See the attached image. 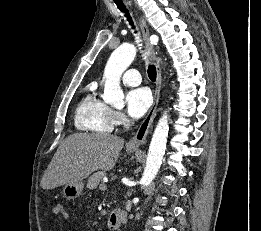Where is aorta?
I'll list each match as a JSON object with an SVG mask.
<instances>
[{
    "label": "aorta",
    "instance_id": "obj_1",
    "mask_svg": "<svg viewBox=\"0 0 261 231\" xmlns=\"http://www.w3.org/2000/svg\"><path fill=\"white\" fill-rule=\"evenodd\" d=\"M135 56L136 48L132 44H122L111 54L103 75L105 80L103 100L106 103L115 107L123 106L124 93L120 86V78ZM168 131V115L165 111L158 121L149 146L146 166L140 181L143 187L152 183L160 169L166 150Z\"/></svg>",
    "mask_w": 261,
    "mask_h": 231
}]
</instances>
